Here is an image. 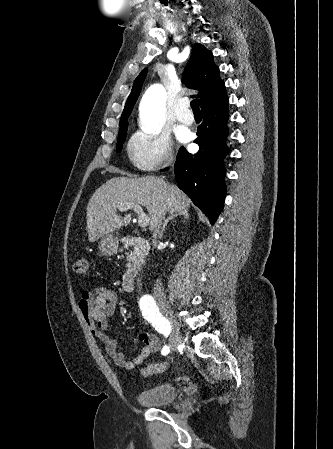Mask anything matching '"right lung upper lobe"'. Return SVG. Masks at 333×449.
Listing matches in <instances>:
<instances>
[{
    "instance_id": "1",
    "label": "right lung upper lobe",
    "mask_w": 333,
    "mask_h": 449,
    "mask_svg": "<svg viewBox=\"0 0 333 449\" xmlns=\"http://www.w3.org/2000/svg\"><path fill=\"white\" fill-rule=\"evenodd\" d=\"M146 73L147 69H144L135 79L121 119L129 117L140 94ZM184 83L190 89L199 90L200 94L194 97L200 98V104L224 87V82L219 77V68L213 62L212 52L201 44L196 43L193 46L191 57L185 68Z\"/></svg>"
}]
</instances>
